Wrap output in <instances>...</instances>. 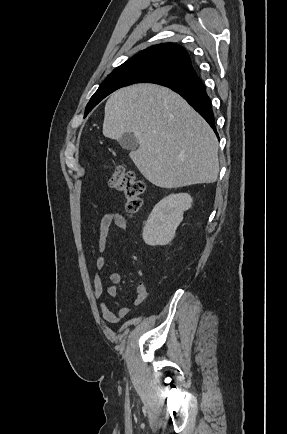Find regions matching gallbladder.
I'll return each mask as SVG.
<instances>
[{"instance_id": "bac80fb5", "label": "gallbladder", "mask_w": 287, "mask_h": 434, "mask_svg": "<svg viewBox=\"0 0 287 434\" xmlns=\"http://www.w3.org/2000/svg\"><path fill=\"white\" fill-rule=\"evenodd\" d=\"M118 142L126 150L134 151L138 147V140L132 133H125Z\"/></svg>"}]
</instances>
